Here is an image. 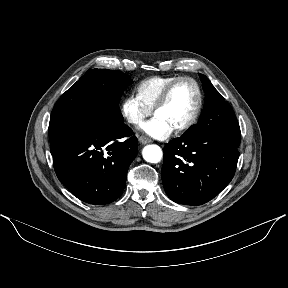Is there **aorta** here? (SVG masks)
<instances>
[{
  "label": "aorta",
  "instance_id": "aorta-1",
  "mask_svg": "<svg viewBox=\"0 0 288 288\" xmlns=\"http://www.w3.org/2000/svg\"><path fill=\"white\" fill-rule=\"evenodd\" d=\"M142 156L147 162L158 163L163 157V152L158 145L150 144L143 148Z\"/></svg>",
  "mask_w": 288,
  "mask_h": 288
}]
</instances>
